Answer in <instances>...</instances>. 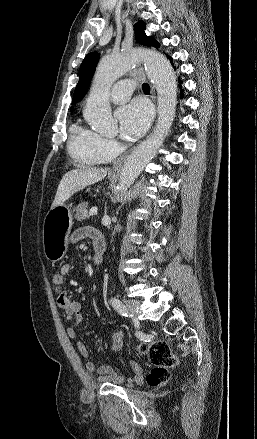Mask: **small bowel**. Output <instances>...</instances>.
Wrapping results in <instances>:
<instances>
[{
	"instance_id": "obj_1",
	"label": "small bowel",
	"mask_w": 257,
	"mask_h": 439,
	"mask_svg": "<svg viewBox=\"0 0 257 439\" xmlns=\"http://www.w3.org/2000/svg\"><path fill=\"white\" fill-rule=\"evenodd\" d=\"M102 237L96 230L90 227H82L74 231L71 235V242L77 243L85 238H89L93 241V243ZM71 272V265L69 263H65L60 268V275L66 276ZM58 306L64 310L66 319L72 321V325L67 328V334L70 338L76 337V326L82 321L83 313H82V305L78 301H73L69 298L65 291H62L58 295ZM110 348L112 352L120 351L124 346V334L122 332H113L109 336ZM77 347L79 352L85 358V369L88 373L94 371V363L89 358L87 349L82 342L77 343ZM131 368L133 370V376L131 378H127L125 376L119 375L113 367L104 365L97 369V374L99 380L110 382L113 384H123V383H134L140 384L144 380V375L142 368L136 361L130 362Z\"/></svg>"
}]
</instances>
